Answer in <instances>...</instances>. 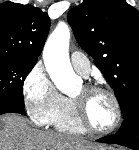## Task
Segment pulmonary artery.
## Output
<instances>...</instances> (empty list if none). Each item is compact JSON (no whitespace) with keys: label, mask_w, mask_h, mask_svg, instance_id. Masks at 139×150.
Listing matches in <instances>:
<instances>
[{"label":"pulmonary artery","mask_w":139,"mask_h":150,"mask_svg":"<svg viewBox=\"0 0 139 150\" xmlns=\"http://www.w3.org/2000/svg\"><path fill=\"white\" fill-rule=\"evenodd\" d=\"M71 63L73 68L82 76L87 77L90 74V62L83 53L78 51L73 52L71 54Z\"/></svg>","instance_id":"obj_1"}]
</instances>
